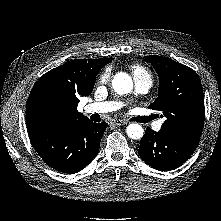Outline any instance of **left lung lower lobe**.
I'll list each match as a JSON object with an SVG mask.
<instances>
[{"label":"left lung lower lobe","mask_w":221,"mask_h":221,"mask_svg":"<svg viewBox=\"0 0 221 221\" xmlns=\"http://www.w3.org/2000/svg\"><path fill=\"white\" fill-rule=\"evenodd\" d=\"M196 147L195 143L156 132L148 127L140 141L138 153L149 166L165 171L187 161Z\"/></svg>","instance_id":"obj_1"}]
</instances>
